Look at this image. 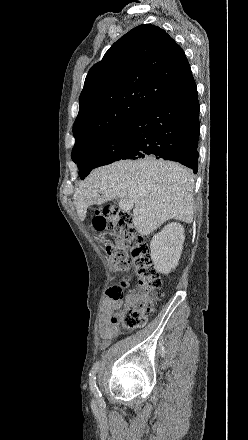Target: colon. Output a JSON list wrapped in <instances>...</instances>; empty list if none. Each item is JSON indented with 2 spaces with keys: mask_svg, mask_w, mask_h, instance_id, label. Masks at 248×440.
<instances>
[{
  "mask_svg": "<svg viewBox=\"0 0 248 440\" xmlns=\"http://www.w3.org/2000/svg\"><path fill=\"white\" fill-rule=\"evenodd\" d=\"M94 218H105L106 231L114 237V241L106 245L110 268L117 272L133 269L138 278V288L127 294L126 279L110 286L106 291L107 301L114 309H121L124 328L143 327L148 315L154 310L155 293L162 287V281L152 265L149 249L132 225L131 215L116 205H105ZM111 322L117 324L118 318L113 315Z\"/></svg>",
  "mask_w": 248,
  "mask_h": 440,
  "instance_id": "5ec220e1",
  "label": "colon"
}]
</instances>
